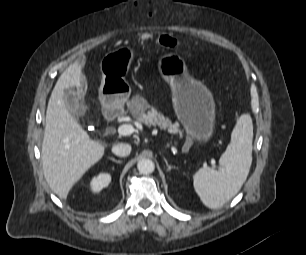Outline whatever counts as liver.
I'll return each instance as SVG.
<instances>
[{
    "instance_id": "obj_1",
    "label": "liver",
    "mask_w": 306,
    "mask_h": 255,
    "mask_svg": "<svg viewBox=\"0 0 306 255\" xmlns=\"http://www.w3.org/2000/svg\"><path fill=\"white\" fill-rule=\"evenodd\" d=\"M79 62L70 65L59 77L50 96L42 143L44 177L52 191L66 199L85 172L104 155L105 146L91 140L75 121L64 102V89L81 87Z\"/></svg>"
}]
</instances>
